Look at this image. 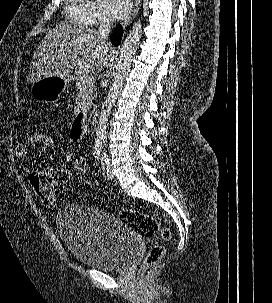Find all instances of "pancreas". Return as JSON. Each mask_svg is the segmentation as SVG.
Returning <instances> with one entry per match:
<instances>
[{
	"instance_id": "pancreas-1",
	"label": "pancreas",
	"mask_w": 272,
	"mask_h": 303,
	"mask_svg": "<svg viewBox=\"0 0 272 303\" xmlns=\"http://www.w3.org/2000/svg\"><path fill=\"white\" fill-rule=\"evenodd\" d=\"M78 103H89L93 98V85H83L79 79L76 81Z\"/></svg>"
}]
</instances>
